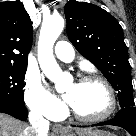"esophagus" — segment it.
Returning <instances> with one entry per match:
<instances>
[{
    "mask_svg": "<svg viewBox=\"0 0 136 136\" xmlns=\"http://www.w3.org/2000/svg\"><path fill=\"white\" fill-rule=\"evenodd\" d=\"M53 131L55 133H64V132H66L65 128L62 125H60V124H55L53 126Z\"/></svg>",
    "mask_w": 136,
    "mask_h": 136,
    "instance_id": "obj_1",
    "label": "esophagus"
}]
</instances>
